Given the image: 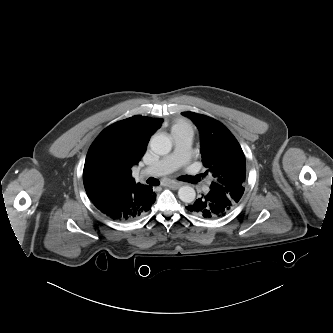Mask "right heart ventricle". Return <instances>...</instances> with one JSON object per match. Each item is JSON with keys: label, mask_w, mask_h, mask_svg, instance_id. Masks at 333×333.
Here are the masks:
<instances>
[{"label": "right heart ventricle", "mask_w": 333, "mask_h": 333, "mask_svg": "<svg viewBox=\"0 0 333 333\" xmlns=\"http://www.w3.org/2000/svg\"><path fill=\"white\" fill-rule=\"evenodd\" d=\"M190 128L189 125L183 121H178L172 126V132Z\"/></svg>", "instance_id": "e07e8e85"}]
</instances>
